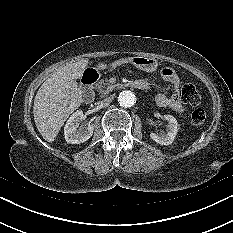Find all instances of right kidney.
Wrapping results in <instances>:
<instances>
[{
	"mask_svg": "<svg viewBox=\"0 0 233 233\" xmlns=\"http://www.w3.org/2000/svg\"><path fill=\"white\" fill-rule=\"evenodd\" d=\"M82 118L83 112L81 110H77L68 119L64 127V135L67 143L80 144L90 139V137L93 135V124H89L85 129H80L79 131L77 130Z\"/></svg>",
	"mask_w": 233,
	"mask_h": 233,
	"instance_id": "ca27d5eb",
	"label": "right kidney"
}]
</instances>
